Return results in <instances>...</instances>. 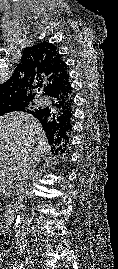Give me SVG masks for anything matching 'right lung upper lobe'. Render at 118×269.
I'll list each match as a JSON object with an SVG mask.
<instances>
[{
	"mask_svg": "<svg viewBox=\"0 0 118 269\" xmlns=\"http://www.w3.org/2000/svg\"><path fill=\"white\" fill-rule=\"evenodd\" d=\"M67 70L53 44L42 42L25 48L12 77L0 84V105L29 102L24 111L36 117L48 140H53L71 125L73 103ZM37 91L49 100L47 106H31Z\"/></svg>",
	"mask_w": 118,
	"mask_h": 269,
	"instance_id": "1",
	"label": "right lung upper lobe"
}]
</instances>
